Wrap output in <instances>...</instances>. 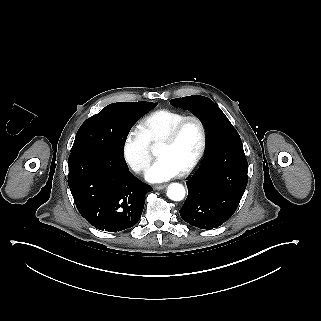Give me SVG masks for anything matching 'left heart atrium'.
I'll list each match as a JSON object with an SVG mask.
<instances>
[{
	"label": "left heart atrium",
	"mask_w": 321,
	"mask_h": 321,
	"mask_svg": "<svg viewBox=\"0 0 321 321\" xmlns=\"http://www.w3.org/2000/svg\"><path fill=\"white\" fill-rule=\"evenodd\" d=\"M181 173V168L171 156H163L148 168L146 178L151 182H164Z\"/></svg>",
	"instance_id": "left-heart-atrium-1"
}]
</instances>
